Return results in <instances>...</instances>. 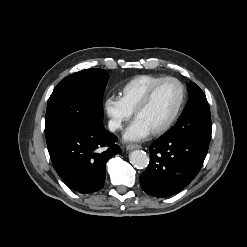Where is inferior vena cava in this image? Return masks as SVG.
Returning <instances> with one entry per match:
<instances>
[{
  "label": "inferior vena cava",
  "instance_id": "602c4592",
  "mask_svg": "<svg viewBox=\"0 0 247 247\" xmlns=\"http://www.w3.org/2000/svg\"><path fill=\"white\" fill-rule=\"evenodd\" d=\"M118 123L115 121H109L108 127L110 129V131H115L118 128Z\"/></svg>",
  "mask_w": 247,
  "mask_h": 247
}]
</instances>
